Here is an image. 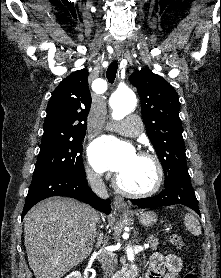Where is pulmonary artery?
Instances as JSON below:
<instances>
[{"label": "pulmonary artery", "instance_id": "e3ab8cb5", "mask_svg": "<svg viewBox=\"0 0 221 278\" xmlns=\"http://www.w3.org/2000/svg\"><path fill=\"white\" fill-rule=\"evenodd\" d=\"M110 128L125 136H137L142 132L141 122L134 117H128L124 122L111 124Z\"/></svg>", "mask_w": 221, "mask_h": 278}]
</instances>
